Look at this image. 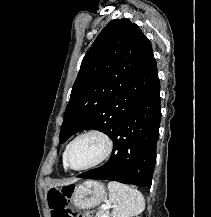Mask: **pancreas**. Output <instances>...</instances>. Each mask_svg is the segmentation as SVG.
Instances as JSON below:
<instances>
[{
    "mask_svg": "<svg viewBox=\"0 0 211 217\" xmlns=\"http://www.w3.org/2000/svg\"><path fill=\"white\" fill-rule=\"evenodd\" d=\"M105 214H107V211L100 209L97 213H96V217H103Z\"/></svg>",
    "mask_w": 211,
    "mask_h": 217,
    "instance_id": "cf45deb5",
    "label": "pancreas"
}]
</instances>
